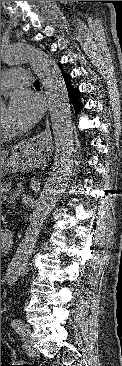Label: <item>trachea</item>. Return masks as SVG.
I'll list each match as a JSON object with an SVG mask.
<instances>
[{
    "label": "trachea",
    "instance_id": "trachea-1",
    "mask_svg": "<svg viewBox=\"0 0 122 366\" xmlns=\"http://www.w3.org/2000/svg\"><path fill=\"white\" fill-rule=\"evenodd\" d=\"M34 86H35V87H40V83H39L38 81H36V82L34 83Z\"/></svg>",
    "mask_w": 122,
    "mask_h": 366
}]
</instances>
